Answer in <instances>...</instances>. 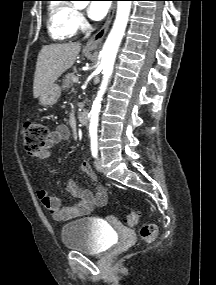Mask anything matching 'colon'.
I'll return each mask as SVG.
<instances>
[{"instance_id":"obj_1","label":"colon","mask_w":216,"mask_h":285,"mask_svg":"<svg viewBox=\"0 0 216 285\" xmlns=\"http://www.w3.org/2000/svg\"><path fill=\"white\" fill-rule=\"evenodd\" d=\"M49 132L47 126L38 120H29L24 124L23 141L28 154L35 157H43ZM139 221V215L129 213L125 218L127 226L134 228ZM157 235V226L152 223L144 224L140 229V236L146 242H151Z\"/></svg>"}]
</instances>
